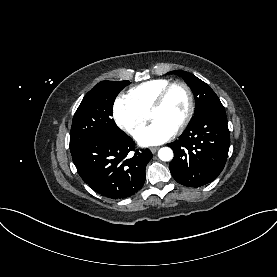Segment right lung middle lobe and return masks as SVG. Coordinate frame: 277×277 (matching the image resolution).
Wrapping results in <instances>:
<instances>
[{"label": "right lung middle lobe", "instance_id": "obj_1", "mask_svg": "<svg viewBox=\"0 0 277 277\" xmlns=\"http://www.w3.org/2000/svg\"><path fill=\"white\" fill-rule=\"evenodd\" d=\"M129 84V81H102L84 96L73 117L70 151L98 137L126 136L111 116L115 98Z\"/></svg>", "mask_w": 277, "mask_h": 277}]
</instances>
